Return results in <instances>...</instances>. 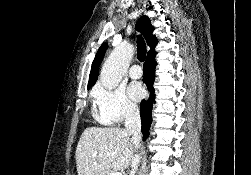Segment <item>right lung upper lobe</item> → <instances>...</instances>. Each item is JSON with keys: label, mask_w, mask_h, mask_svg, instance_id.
Returning a JSON list of instances; mask_svg holds the SVG:
<instances>
[{"label": "right lung upper lobe", "mask_w": 251, "mask_h": 175, "mask_svg": "<svg viewBox=\"0 0 251 175\" xmlns=\"http://www.w3.org/2000/svg\"><path fill=\"white\" fill-rule=\"evenodd\" d=\"M136 29L142 32V34L144 35L147 41V44L151 47L150 51L147 54V60L153 61L156 55L154 48L156 44L158 43V41L155 38V36H151L154 28L152 27L149 18L147 16H142L137 21ZM106 49H107V44H103L99 48L95 56V59L92 64L90 76H89L88 89L91 88L92 85H94V83L96 82L98 78L99 66L102 62Z\"/></svg>", "instance_id": "1"}]
</instances>
